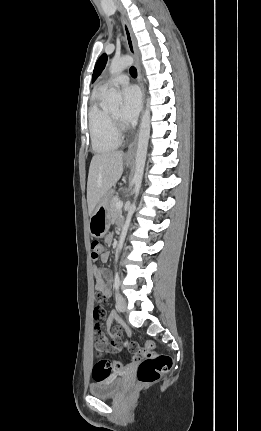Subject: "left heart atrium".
I'll return each instance as SVG.
<instances>
[{
	"label": "left heart atrium",
	"instance_id": "left-heart-atrium-1",
	"mask_svg": "<svg viewBox=\"0 0 261 431\" xmlns=\"http://www.w3.org/2000/svg\"><path fill=\"white\" fill-rule=\"evenodd\" d=\"M123 107L120 113L121 121L126 124H132L140 111L141 96L135 86H127L122 90Z\"/></svg>",
	"mask_w": 261,
	"mask_h": 431
}]
</instances>
